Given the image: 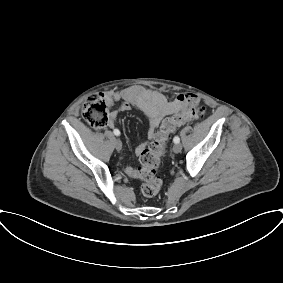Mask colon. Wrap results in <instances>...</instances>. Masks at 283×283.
I'll return each mask as SVG.
<instances>
[{
  "label": "colon",
  "instance_id": "5ec220e1",
  "mask_svg": "<svg viewBox=\"0 0 283 283\" xmlns=\"http://www.w3.org/2000/svg\"><path fill=\"white\" fill-rule=\"evenodd\" d=\"M81 113L82 117L95 129L106 127L111 115L108 102L97 94L86 98ZM204 113V106L194 101L189 102L183 110L163 121L151 144L140 153L137 175L141 182V193L145 197H153L161 189L162 179L158 176L157 169L161 164L165 144L171 133L186 122L203 117Z\"/></svg>",
  "mask_w": 283,
  "mask_h": 283
}]
</instances>
